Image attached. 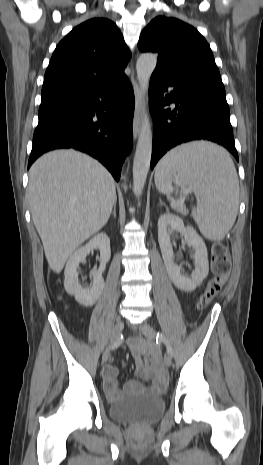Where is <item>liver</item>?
Here are the masks:
<instances>
[{"mask_svg":"<svg viewBox=\"0 0 263 465\" xmlns=\"http://www.w3.org/2000/svg\"><path fill=\"white\" fill-rule=\"evenodd\" d=\"M27 193L48 265L57 274L107 223L116 203L115 181L107 169L71 149L41 156L29 170Z\"/></svg>","mask_w":263,"mask_h":465,"instance_id":"1","label":"liver"}]
</instances>
